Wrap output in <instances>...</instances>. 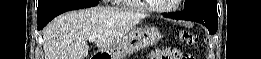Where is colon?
Segmentation results:
<instances>
[{"label": "colon", "mask_w": 261, "mask_h": 59, "mask_svg": "<svg viewBox=\"0 0 261 59\" xmlns=\"http://www.w3.org/2000/svg\"><path fill=\"white\" fill-rule=\"evenodd\" d=\"M180 38L182 42L195 45L198 42V37L195 33L190 31H181ZM150 59H191L189 55L180 54L177 48L167 47L160 50H155L151 53Z\"/></svg>", "instance_id": "obj_1"}]
</instances>
